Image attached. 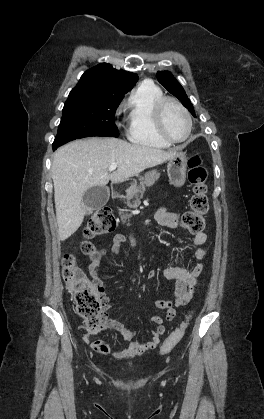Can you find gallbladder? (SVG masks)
<instances>
[{"label": "gallbladder", "mask_w": 264, "mask_h": 419, "mask_svg": "<svg viewBox=\"0 0 264 419\" xmlns=\"http://www.w3.org/2000/svg\"><path fill=\"white\" fill-rule=\"evenodd\" d=\"M110 195L107 186H94L89 188L83 195L82 206L86 214L102 208L108 201Z\"/></svg>", "instance_id": "1"}]
</instances>
